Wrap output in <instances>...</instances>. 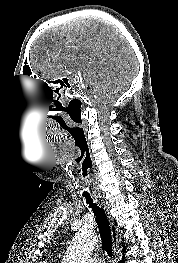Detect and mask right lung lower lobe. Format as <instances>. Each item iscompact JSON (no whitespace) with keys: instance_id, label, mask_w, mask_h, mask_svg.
Wrapping results in <instances>:
<instances>
[{"instance_id":"98d812e1","label":"right lung lower lobe","mask_w":178,"mask_h":263,"mask_svg":"<svg viewBox=\"0 0 178 263\" xmlns=\"http://www.w3.org/2000/svg\"><path fill=\"white\" fill-rule=\"evenodd\" d=\"M124 262H125V257H123L119 263H124Z\"/></svg>"}]
</instances>
